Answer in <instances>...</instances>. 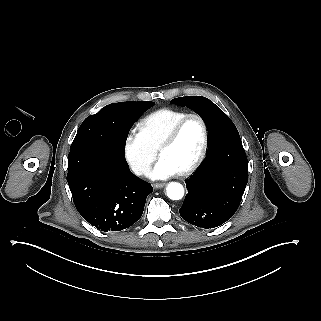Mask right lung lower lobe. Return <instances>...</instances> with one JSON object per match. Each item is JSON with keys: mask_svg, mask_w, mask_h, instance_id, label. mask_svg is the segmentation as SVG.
<instances>
[{"mask_svg": "<svg viewBox=\"0 0 321 321\" xmlns=\"http://www.w3.org/2000/svg\"><path fill=\"white\" fill-rule=\"evenodd\" d=\"M107 113L115 136L126 142L143 111L137 106H120ZM67 182L81 216L105 232L123 230L138 221L153 191L151 184L129 170L124 153L106 148L70 151Z\"/></svg>", "mask_w": 321, "mask_h": 321, "instance_id": "98d812e1", "label": "right lung lower lobe"}]
</instances>
